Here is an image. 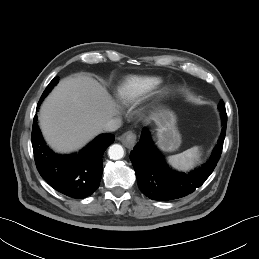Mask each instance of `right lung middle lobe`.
<instances>
[{"instance_id": "dd1d6c3e", "label": "right lung middle lobe", "mask_w": 259, "mask_h": 259, "mask_svg": "<svg viewBox=\"0 0 259 259\" xmlns=\"http://www.w3.org/2000/svg\"><path fill=\"white\" fill-rule=\"evenodd\" d=\"M59 82V78L55 77L50 84L47 86V88L45 89V91L43 92L41 98H40V102L41 103L43 101V99L47 96V94L53 89V87ZM38 103V104H39Z\"/></svg>"}]
</instances>
